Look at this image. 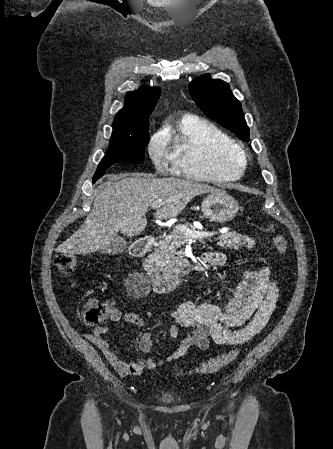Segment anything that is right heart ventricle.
<instances>
[{
    "mask_svg": "<svg viewBox=\"0 0 333 449\" xmlns=\"http://www.w3.org/2000/svg\"><path fill=\"white\" fill-rule=\"evenodd\" d=\"M236 146L217 125L193 117L183 118L170 137L172 170L199 181L236 180L246 169V159Z\"/></svg>",
    "mask_w": 333,
    "mask_h": 449,
    "instance_id": "1",
    "label": "right heart ventricle"
}]
</instances>
